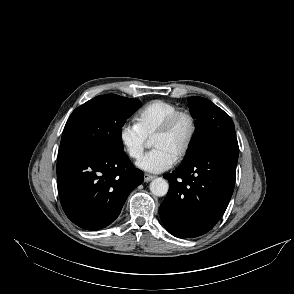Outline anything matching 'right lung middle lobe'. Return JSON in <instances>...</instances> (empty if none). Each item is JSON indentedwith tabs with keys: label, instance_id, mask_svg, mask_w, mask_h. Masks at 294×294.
Here are the masks:
<instances>
[{
	"label": "right lung middle lobe",
	"instance_id": "obj_1",
	"mask_svg": "<svg viewBox=\"0 0 294 294\" xmlns=\"http://www.w3.org/2000/svg\"><path fill=\"white\" fill-rule=\"evenodd\" d=\"M139 103L138 99L108 94L76 108L63 130L58 161L78 153L123 150L122 127Z\"/></svg>",
	"mask_w": 294,
	"mask_h": 294
}]
</instances>
